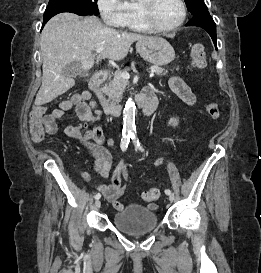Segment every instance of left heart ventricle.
<instances>
[{"label":"left heart ventricle","mask_w":261,"mask_h":273,"mask_svg":"<svg viewBox=\"0 0 261 273\" xmlns=\"http://www.w3.org/2000/svg\"><path fill=\"white\" fill-rule=\"evenodd\" d=\"M181 7L178 0H158L154 9V18L161 27H171L181 18Z\"/></svg>","instance_id":"b2bd125f"}]
</instances>
